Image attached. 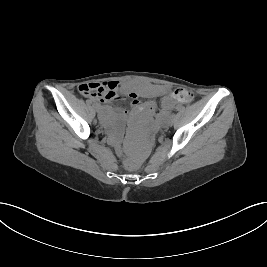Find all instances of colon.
<instances>
[{"label":"colon","mask_w":267,"mask_h":267,"mask_svg":"<svg viewBox=\"0 0 267 267\" xmlns=\"http://www.w3.org/2000/svg\"><path fill=\"white\" fill-rule=\"evenodd\" d=\"M80 93L84 97H99L107 101L115 100L118 97L117 90L113 87H106L104 83H100V85L84 84ZM173 97L179 103H190L194 99V94L190 90L178 88L173 91ZM135 166L127 165L128 168H134Z\"/></svg>","instance_id":"1"}]
</instances>
